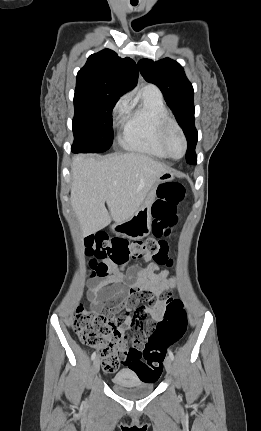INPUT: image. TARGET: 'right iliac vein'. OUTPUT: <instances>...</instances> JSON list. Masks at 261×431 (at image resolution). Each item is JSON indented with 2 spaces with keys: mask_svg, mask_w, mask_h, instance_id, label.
<instances>
[{
  "mask_svg": "<svg viewBox=\"0 0 261 431\" xmlns=\"http://www.w3.org/2000/svg\"><path fill=\"white\" fill-rule=\"evenodd\" d=\"M99 369H100V359L98 357H96L94 359V362H93V373H94V375H97V373L99 372Z\"/></svg>",
  "mask_w": 261,
  "mask_h": 431,
  "instance_id": "obj_1",
  "label": "right iliac vein"
}]
</instances>
